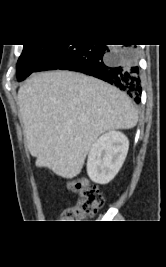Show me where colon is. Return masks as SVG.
I'll list each match as a JSON object with an SVG mask.
<instances>
[{"instance_id":"colon-1","label":"colon","mask_w":166,"mask_h":267,"mask_svg":"<svg viewBox=\"0 0 166 267\" xmlns=\"http://www.w3.org/2000/svg\"><path fill=\"white\" fill-rule=\"evenodd\" d=\"M72 189L78 194L77 200L63 207L60 212L62 223L82 222L93 217L97 210L104 205L105 198L98 187L87 180L72 183Z\"/></svg>"}]
</instances>
